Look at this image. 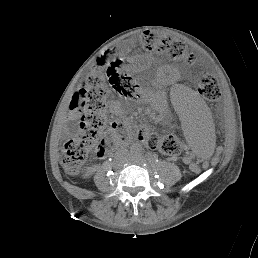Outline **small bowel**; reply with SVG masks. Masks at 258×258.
<instances>
[{"label":"small bowel","mask_w":258,"mask_h":258,"mask_svg":"<svg viewBox=\"0 0 258 258\" xmlns=\"http://www.w3.org/2000/svg\"><path fill=\"white\" fill-rule=\"evenodd\" d=\"M185 162H188V159H184Z\"/></svg>","instance_id":"obj_1"}]
</instances>
